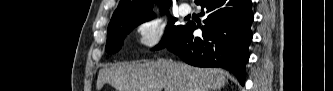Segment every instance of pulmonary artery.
I'll use <instances>...</instances> for the list:
<instances>
[{
  "instance_id": "obj_1",
  "label": "pulmonary artery",
  "mask_w": 333,
  "mask_h": 91,
  "mask_svg": "<svg viewBox=\"0 0 333 91\" xmlns=\"http://www.w3.org/2000/svg\"><path fill=\"white\" fill-rule=\"evenodd\" d=\"M190 12H191V8H190V6L187 5V4H182V5L179 7V14L182 15V16H186V15H188Z\"/></svg>"
}]
</instances>
